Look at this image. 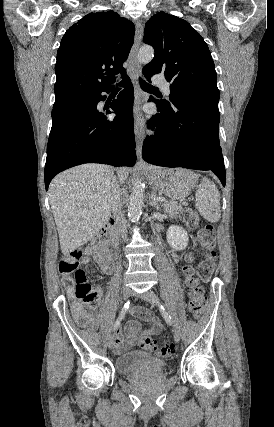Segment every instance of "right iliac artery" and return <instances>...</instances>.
I'll list each match as a JSON object with an SVG mask.
<instances>
[{
  "mask_svg": "<svg viewBox=\"0 0 274 427\" xmlns=\"http://www.w3.org/2000/svg\"><path fill=\"white\" fill-rule=\"evenodd\" d=\"M129 307H130V301H127V302L124 304V306H123V308H122V310H121V312H120V314H119V316H118L117 320L115 321V324H114V327H113V330H114V331H115V330L118 328V326L120 325V322H121V320L125 317V314L128 312Z\"/></svg>",
  "mask_w": 274,
  "mask_h": 427,
  "instance_id": "82829eb1",
  "label": "right iliac artery"
}]
</instances>
